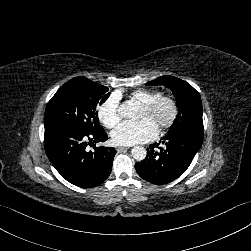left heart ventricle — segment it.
Listing matches in <instances>:
<instances>
[{
	"label": "left heart ventricle",
	"instance_id": "obj_1",
	"mask_svg": "<svg viewBox=\"0 0 251 251\" xmlns=\"http://www.w3.org/2000/svg\"><path fill=\"white\" fill-rule=\"evenodd\" d=\"M172 115V107L169 104H163L157 111L155 112H146L142 109L138 119L142 120L145 118H150L156 122L159 126L160 123L166 122L170 119Z\"/></svg>",
	"mask_w": 251,
	"mask_h": 251
}]
</instances>
